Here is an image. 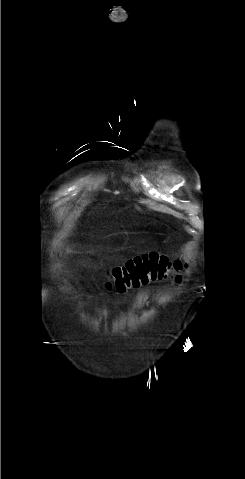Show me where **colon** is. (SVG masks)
Masks as SVG:
<instances>
[{
	"mask_svg": "<svg viewBox=\"0 0 245 479\" xmlns=\"http://www.w3.org/2000/svg\"><path fill=\"white\" fill-rule=\"evenodd\" d=\"M182 264L158 253H147L129 259L110 269L112 287L118 292L138 288L150 282L167 279L180 271Z\"/></svg>",
	"mask_w": 245,
	"mask_h": 479,
	"instance_id": "colon-1",
	"label": "colon"
}]
</instances>
